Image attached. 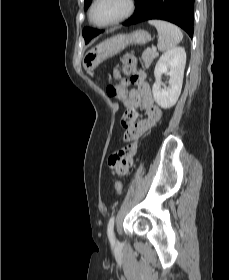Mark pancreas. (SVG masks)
Segmentation results:
<instances>
[{
    "instance_id": "cf45deb5",
    "label": "pancreas",
    "mask_w": 229,
    "mask_h": 280,
    "mask_svg": "<svg viewBox=\"0 0 229 280\" xmlns=\"http://www.w3.org/2000/svg\"><path fill=\"white\" fill-rule=\"evenodd\" d=\"M158 56V53L156 51H153L151 49H147L142 53V60L145 64V67H149L154 58Z\"/></svg>"
}]
</instances>
